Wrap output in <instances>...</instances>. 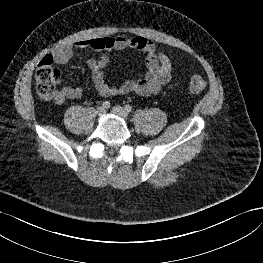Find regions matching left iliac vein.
<instances>
[{"mask_svg":"<svg viewBox=\"0 0 263 263\" xmlns=\"http://www.w3.org/2000/svg\"><path fill=\"white\" fill-rule=\"evenodd\" d=\"M112 113L115 115H118L124 119L128 118V112L120 106H114L112 108Z\"/></svg>","mask_w":263,"mask_h":263,"instance_id":"obj_1","label":"left iliac vein"}]
</instances>
